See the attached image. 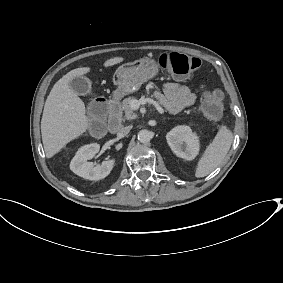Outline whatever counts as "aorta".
I'll use <instances>...</instances> for the list:
<instances>
[{"instance_id": "obj_1", "label": "aorta", "mask_w": 283, "mask_h": 283, "mask_svg": "<svg viewBox=\"0 0 283 283\" xmlns=\"http://www.w3.org/2000/svg\"><path fill=\"white\" fill-rule=\"evenodd\" d=\"M152 138V134L150 131L143 129L138 132V140L142 143L149 142Z\"/></svg>"}]
</instances>
